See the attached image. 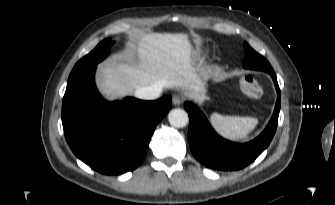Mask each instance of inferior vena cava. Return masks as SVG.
Listing matches in <instances>:
<instances>
[{"mask_svg":"<svg viewBox=\"0 0 335 205\" xmlns=\"http://www.w3.org/2000/svg\"><path fill=\"white\" fill-rule=\"evenodd\" d=\"M162 92V87L154 84L151 86H146L135 91L136 97L144 100H154L157 99Z\"/></svg>","mask_w":335,"mask_h":205,"instance_id":"602c4592","label":"inferior vena cava"}]
</instances>
